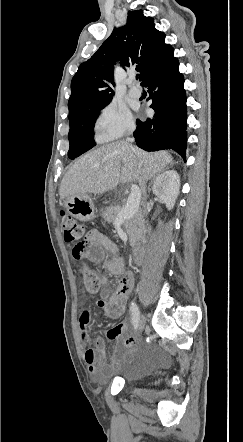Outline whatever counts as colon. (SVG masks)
I'll return each instance as SVG.
<instances>
[{
  "label": "colon",
  "instance_id": "obj_1",
  "mask_svg": "<svg viewBox=\"0 0 243 442\" xmlns=\"http://www.w3.org/2000/svg\"><path fill=\"white\" fill-rule=\"evenodd\" d=\"M61 223L64 229L65 241L77 242L69 243L68 251L73 252L75 259L82 258L87 248L84 227L74 217L66 213L61 215ZM83 286L87 292L97 293L102 286V278L96 271L85 268L83 272Z\"/></svg>",
  "mask_w": 243,
  "mask_h": 442
}]
</instances>
